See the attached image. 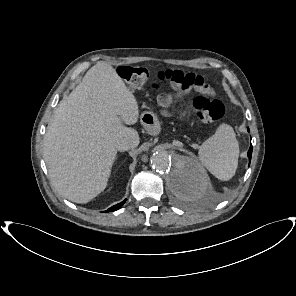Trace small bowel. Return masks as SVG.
I'll list each match as a JSON object with an SVG mask.
<instances>
[{"label": "small bowel", "mask_w": 296, "mask_h": 296, "mask_svg": "<svg viewBox=\"0 0 296 296\" xmlns=\"http://www.w3.org/2000/svg\"><path fill=\"white\" fill-rule=\"evenodd\" d=\"M173 101V98L171 95H161L158 99L159 106L162 109H166ZM164 114H167V112L164 111Z\"/></svg>", "instance_id": "1"}]
</instances>
